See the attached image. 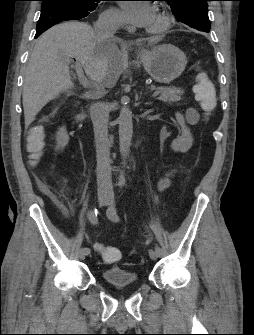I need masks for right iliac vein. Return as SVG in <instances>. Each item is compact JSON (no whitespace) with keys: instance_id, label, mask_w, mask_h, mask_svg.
Here are the masks:
<instances>
[{"instance_id":"obj_1","label":"right iliac vein","mask_w":254,"mask_h":335,"mask_svg":"<svg viewBox=\"0 0 254 335\" xmlns=\"http://www.w3.org/2000/svg\"><path fill=\"white\" fill-rule=\"evenodd\" d=\"M98 201L101 206H105L109 203V195L106 192H101L98 194ZM86 253L83 248H80L77 253V257L79 260H84Z\"/></svg>"}]
</instances>
